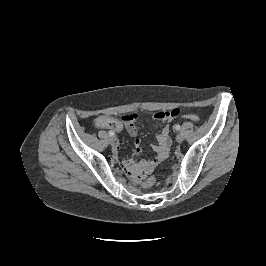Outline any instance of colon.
Here are the masks:
<instances>
[{
  "mask_svg": "<svg viewBox=\"0 0 266 266\" xmlns=\"http://www.w3.org/2000/svg\"><path fill=\"white\" fill-rule=\"evenodd\" d=\"M184 118L194 121V122L199 121V117L196 114H192V113L185 114ZM154 184H155V179L153 177H147L142 183L144 188H150Z\"/></svg>",
  "mask_w": 266,
  "mask_h": 266,
  "instance_id": "colon-1",
  "label": "colon"
}]
</instances>
